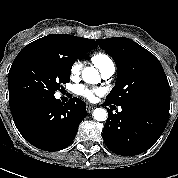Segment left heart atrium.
<instances>
[{"instance_id": "39dd6f15", "label": "left heart atrium", "mask_w": 178, "mask_h": 178, "mask_svg": "<svg viewBox=\"0 0 178 178\" xmlns=\"http://www.w3.org/2000/svg\"><path fill=\"white\" fill-rule=\"evenodd\" d=\"M76 93L88 101H93L102 93V91L100 89H91L84 85H79L76 89Z\"/></svg>"}]
</instances>
